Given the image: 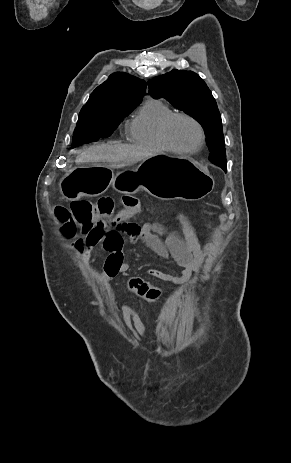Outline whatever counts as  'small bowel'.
Returning a JSON list of instances; mask_svg holds the SVG:
<instances>
[{
	"label": "small bowel",
	"mask_w": 291,
	"mask_h": 463,
	"mask_svg": "<svg viewBox=\"0 0 291 463\" xmlns=\"http://www.w3.org/2000/svg\"><path fill=\"white\" fill-rule=\"evenodd\" d=\"M137 211L138 208H133L127 216L122 215L114 229H95L84 233L75 243L76 251L84 259L88 258L90 250L94 248H100L108 253L101 278L112 279L131 268V263L124 252V235H127L130 242L142 240L158 257L163 260L172 258L182 267V272L178 276L158 269L149 270V276L170 284L175 290L184 284H189L193 291H198L204 281L202 274L204 257L189 218L182 213L175 215V222L180 228L178 234L165 231L157 223L139 224L133 221ZM162 234L166 236L165 241L161 238ZM195 273L199 275L194 276ZM131 324L139 333V323L134 317H131Z\"/></svg>",
	"instance_id": "1"
}]
</instances>
